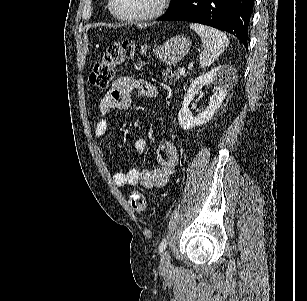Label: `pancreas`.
I'll use <instances>...</instances> for the list:
<instances>
[{
    "mask_svg": "<svg viewBox=\"0 0 307 301\" xmlns=\"http://www.w3.org/2000/svg\"><path fill=\"white\" fill-rule=\"evenodd\" d=\"M162 74L163 80H169V82H176L180 76H185V74H180L179 70H174V68H167Z\"/></svg>",
    "mask_w": 307,
    "mask_h": 301,
    "instance_id": "1",
    "label": "pancreas"
}]
</instances>
